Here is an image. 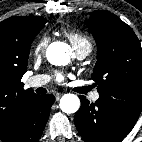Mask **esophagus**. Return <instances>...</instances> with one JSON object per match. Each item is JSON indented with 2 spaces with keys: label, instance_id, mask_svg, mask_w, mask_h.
Instances as JSON below:
<instances>
[{
  "label": "esophagus",
  "instance_id": "1",
  "mask_svg": "<svg viewBox=\"0 0 142 142\" xmlns=\"http://www.w3.org/2000/svg\"><path fill=\"white\" fill-rule=\"evenodd\" d=\"M61 96H62V93H57L55 95L56 101H58L61 98Z\"/></svg>",
  "mask_w": 142,
  "mask_h": 142
}]
</instances>
